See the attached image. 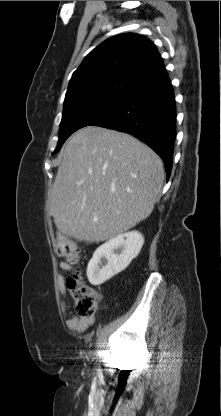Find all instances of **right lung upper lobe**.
<instances>
[{"mask_svg":"<svg viewBox=\"0 0 221 416\" xmlns=\"http://www.w3.org/2000/svg\"><path fill=\"white\" fill-rule=\"evenodd\" d=\"M167 77L154 44L138 34H120L91 51L73 73L65 101L102 89L130 92Z\"/></svg>","mask_w":221,"mask_h":416,"instance_id":"obj_1","label":"right lung upper lobe"}]
</instances>
